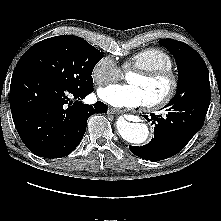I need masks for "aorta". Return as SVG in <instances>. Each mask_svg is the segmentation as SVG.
<instances>
[{"instance_id": "762f6f07", "label": "aorta", "mask_w": 221, "mask_h": 221, "mask_svg": "<svg viewBox=\"0 0 221 221\" xmlns=\"http://www.w3.org/2000/svg\"><path fill=\"white\" fill-rule=\"evenodd\" d=\"M116 127L121 137L132 144H142L149 137V128L144 123H134L119 117Z\"/></svg>"}]
</instances>
